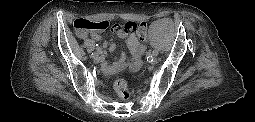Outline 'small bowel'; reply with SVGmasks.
I'll return each instance as SVG.
<instances>
[{
	"label": "small bowel",
	"instance_id": "c3829d8e",
	"mask_svg": "<svg viewBox=\"0 0 255 122\" xmlns=\"http://www.w3.org/2000/svg\"><path fill=\"white\" fill-rule=\"evenodd\" d=\"M113 31L118 35V37L127 38V46L131 53V58L128 59L127 55L122 53L113 61L105 62L104 70L107 73H117L125 69L137 71L141 65V57L145 51V45L141 43L140 38L134 32H127L124 28H116ZM83 37L89 38L92 41L101 40V35L98 31H91ZM107 46L108 43L104 42V47ZM115 49L116 45L114 43L109 46L110 51H114Z\"/></svg>",
	"mask_w": 255,
	"mask_h": 122
}]
</instances>
